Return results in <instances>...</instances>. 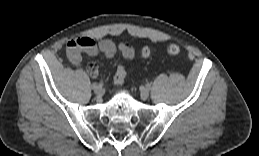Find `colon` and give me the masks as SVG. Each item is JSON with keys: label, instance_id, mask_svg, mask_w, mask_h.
<instances>
[{"label": "colon", "instance_id": "colon-1", "mask_svg": "<svg viewBox=\"0 0 259 156\" xmlns=\"http://www.w3.org/2000/svg\"><path fill=\"white\" fill-rule=\"evenodd\" d=\"M181 52H182L181 47L177 44L169 43L166 46V53L169 56L177 57L181 54ZM152 54H153V50L150 46H144L141 49V56L143 58H149L152 56ZM125 78H126L125 66L123 64H119L117 67L116 73L114 75V83L117 86H122L125 82Z\"/></svg>", "mask_w": 259, "mask_h": 156}]
</instances>
